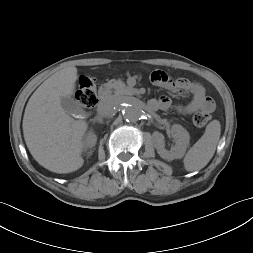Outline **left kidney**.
Masks as SVG:
<instances>
[{
  "label": "left kidney",
  "instance_id": "left-kidney-1",
  "mask_svg": "<svg viewBox=\"0 0 253 253\" xmlns=\"http://www.w3.org/2000/svg\"><path fill=\"white\" fill-rule=\"evenodd\" d=\"M171 134L175 139V145L171 147L170 151L165 149L164 136L162 133L156 131L152 135L157 153L160 155L161 158L167 161L182 158L186 152L190 141L189 133L179 124H175L172 126Z\"/></svg>",
  "mask_w": 253,
  "mask_h": 253
}]
</instances>
